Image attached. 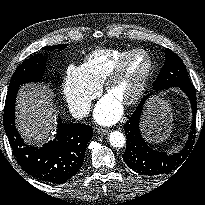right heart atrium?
<instances>
[{
	"label": "right heart atrium",
	"instance_id": "right-heart-atrium-1",
	"mask_svg": "<svg viewBox=\"0 0 205 205\" xmlns=\"http://www.w3.org/2000/svg\"><path fill=\"white\" fill-rule=\"evenodd\" d=\"M100 91V86L88 80L80 67L70 65L63 79V93L71 113L84 117L89 113L91 102Z\"/></svg>",
	"mask_w": 205,
	"mask_h": 205
}]
</instances>
